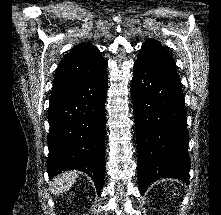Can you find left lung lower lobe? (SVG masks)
I'll list each match as a JSON object with an SVG mask.
<instances>
[{
    "label": "left lung lower lobe",
    "instance_id": "0a47b994",
    "mask_svg": "<svg viewBox=\"0 0 221 215\" xmlns=\"http://www.w3.org/2000/svg\"><path fill=\"white\" fill-rule=\"evenodd\" d=\"M141 194L160 178L189 183L186 109L177 73L136 61L131 81Z\"/></svg>",
    "mask_w": 221,
    "mask_h": 215
}]
</instances>
